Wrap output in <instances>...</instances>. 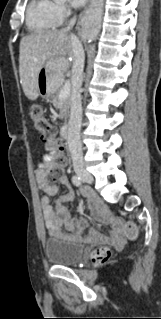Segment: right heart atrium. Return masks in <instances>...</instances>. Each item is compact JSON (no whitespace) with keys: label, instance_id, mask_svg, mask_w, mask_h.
Masks as SVG:
<instances>
[{"label":"right heart atrium","instance_id":"1","mask_svg":"<svg viewBox=\"0 0 161 319\" xmlns=\"http://www.w3.org/2000/svg\"><path fill=\"white\" fill-rule=\"evenodd\" d=\"M56 12L59 18V24L69 15L70 10L65 4H56Z\"/></svg>","mask_w":161,"mask_h":319}]
</instances>
